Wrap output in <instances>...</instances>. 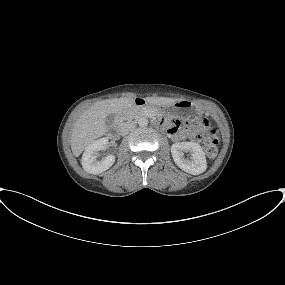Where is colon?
Instances as JSON below:
<instances>
[{
	"instance_id": "colon-1",
	"label": "colon",
	"mask_w": 285,
	"mask_h": 285,
	"mask_svg": "<svg viewBox=\"0 0 285 285\" xmlns=\"http://www.w3.org/2000/svg\"><path fill=\"white\" fill-rule=\"evenodd\" d=\"M187 130L192 138L203 142L209 158L216 156L219 140L214 130L204 131L203 125L200 124H190L187 126Z\"/></svg>"
}]
</instances>
